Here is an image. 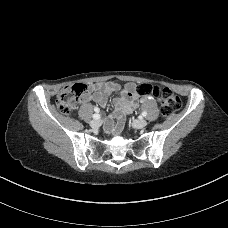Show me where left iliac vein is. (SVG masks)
<instances>
[{
	"label": "left iliac vein",
	"mask_w": 228,
	"mask_h": 228,
	"mask_svg": "<svg viewBox=\"0 0 228 228\" xmlns=\"http://www.w3.org/2000/svg\"><path fill=\"white\" fill-rule=\"evenodd\" d=\"M132 125L134 128L141 129L147 125V121L145 119L133 120Z\"/></svg>",
	"instance_id": "left-iliac-vein-1"
}]
</instances>
